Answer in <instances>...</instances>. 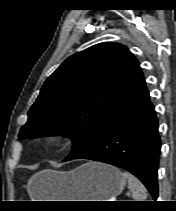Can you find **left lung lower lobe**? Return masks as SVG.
I'll use <instances>...</instances> for the list:
<instances>
[{"mask_svg":"<svg viewBox=\"0 0 176 211\" xmlns=\"http://www.w3.org/2000/svg\"><path fill=\"white\" fill-rule=\"evenodd\" d=\"M160 147L158 120L146 90L110 115L91 143L72 159L124 168L138 177L156 199Z\"/></svg>","mask_w":176,"mask_h":211,"instance_id":"0a47b994","label":"left lung lower lobe"}]
</instances>
